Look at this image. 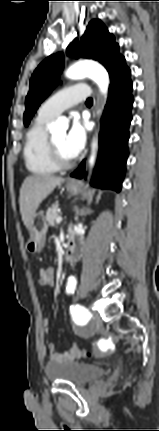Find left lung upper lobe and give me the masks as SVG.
<instances>
[{"label": "left lung upper lobe", "instance_id": "obj_1", "mask_svg": "<svg viewBox=\"0 0 159 431\" xmlns=\"http://www.w3.org/2000/svg\"><path fill=\"white\" fill-rule=\"evenodd\" d=\"M75 58H91L101 62L109 72L110 78L126 65L124 56L119 54V45L99 20L91 21L81 42L74 40L66 50ZM64 65L63 54L47 57L34 71L30 80V90L26 97L24 124L27 126L41 102L51 93L58 83L59 73Z\"/></svg>", "mask_w": 159, "mask_h": 431}]
</instances>
